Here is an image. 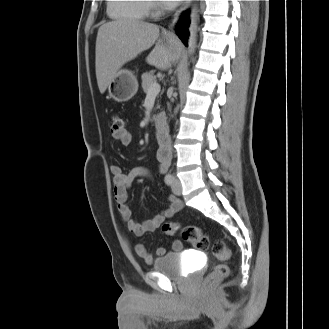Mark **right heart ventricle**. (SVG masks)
<instances>
[{
	"mask_svg": "<svg viewBox=\"0 0 329 329\" xmlns=\"http://www.w3.org/2000/svg\"><path fill=\"white\" fill-rule=\"evenodd\" d=\"M108 13L116 19L144 20L150 10L148 0H108Z\"/></svg>",
	"mask_w": 329,
	"mask_h": 329,
	"instance_id": "right-heart-ventricle-1",
	"label": "right heart ventricle"
}]
</instances>
